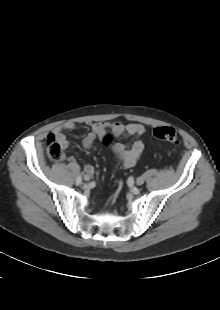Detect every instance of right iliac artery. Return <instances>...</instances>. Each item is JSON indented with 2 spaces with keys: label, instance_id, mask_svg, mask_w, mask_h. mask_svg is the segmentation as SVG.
I'll use <instances>...</instances> for the list:
<instances>
[{
  "label": "right iliac artery",
  "instance_id": "obj_1",
  "mask_svg": "<svg viewBox=\"0 0 220 310\" xmlns=\"http://www.w3.org/2000/svg\"><path fill=\"white\" fill-rule=\"evenodd\" d=\"M81 182H82V177H81V175H79V176H77V178H76V185H80Z\"/></svg>",
  "mask_w": 220,
  "mask_h": 310
}]
</instances>
